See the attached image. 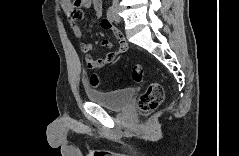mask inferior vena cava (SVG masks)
Segmentation results:
<instances>
[{"instance_id": "602c4592", "label": "inferior vena cava", "mask_w": 239, "mask_h": 156, "mask_svg": "<svg viewBox=\"0 0 239 156\" xmlns=\"http://www.w3.org/2000/svg\"><path fill=\"white\" fill-rule=\"evenodd\" d=\"M113 2H114V4H117V3H118V0H114Z\"/></svg>"}]
</instances>
